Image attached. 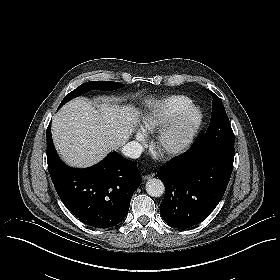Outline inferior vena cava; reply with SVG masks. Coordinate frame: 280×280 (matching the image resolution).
<instances>
[{
  "label": "inferior vena cava",
  "instance_id": "602c4592",
  "mask_svg": "<svg viewBox=\"0 0 280 280\" xmlns=\"http://www.w3.org/2000/svg\"><path fill=\"white\" fill-rule=\"evenodd\" d=\"M143 152V147L140 143L131 141L122 148V154L126 157L137 159Z\"/></svg>",
  "mask_w": 280,
  "mask_h": 280
}]
</instances>
